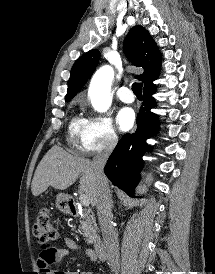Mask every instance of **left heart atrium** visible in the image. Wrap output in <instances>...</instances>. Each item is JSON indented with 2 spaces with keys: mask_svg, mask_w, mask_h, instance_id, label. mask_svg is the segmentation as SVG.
<instances>
[{
  "mask_svg": "<svg viewBox=\"0 0 215 274\" xmlns=\"http://www.w3.org/2000/svg\"><path fill=\"white\" fill-rule=\"evenodd\" d=\"M116 121L122 131L132 128L135 121V113L131 108L125 107L117 113Z\"/></svg>",
  "mask_w": 215,
  "mask_h": 274,
  "instance_id": "obj_1",
  "label": "left heart atrium"
}]
</instances>
